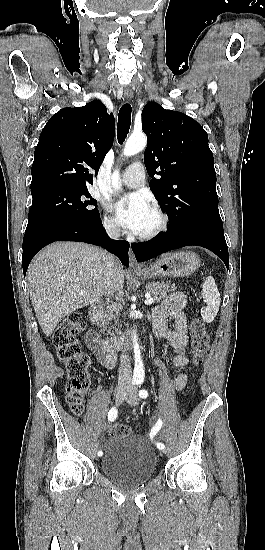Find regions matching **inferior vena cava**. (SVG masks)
Returning a JSON list of instances; mask_svg holds the SVG:
<instances>
[{
    "label": "inferior vena cava",
    "mask_w": 265,
    "mask_h": 550,
    "mask_svg": "<svg viewBox=\"0 0 265 550\" xmlns=\"http://www.w3.org/2000/svg\"><path fill=\"white\" fill-rule=\"evenodd\" d=\"M105 229L109 237L113 239H118L120 236L119 229L115 224H106ZM106 265H107V277L109 288L107 295H113L115 293V277H116V267H115V257L111 254L106 256ZM119 375L118 381L120 383L129 384L132 380V369L130 365V360L126 351L122 352L121 362L119 366Z\"/></svg>",
    "instance_id": "obj_1"
}]
</instances>
